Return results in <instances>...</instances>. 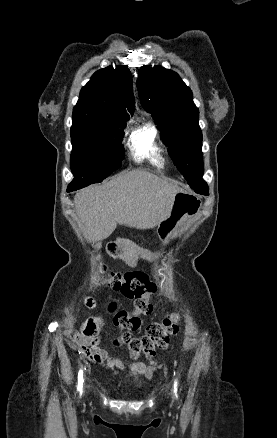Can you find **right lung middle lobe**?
Returning <instances> with one entry per match:
<instances>
[{
	"instance_id": "right-lung-middle-lobe-1",
	"label": "right lung middle lobe",
	"mask_w": 277,
	"mask_h": 438,
	"mask_svg": "<svg viewBox=\"0 0 277 438\" xmlns=\"http://www.w3.org/2000/svg\"><path fill=\"white\" fill-rule=\"evenodd\" d=\"M126 121L106 125L73 122L71 169L74 179L69 186L83 188L101 182L121 166Z\"/></svg>"
}]
</instances>
